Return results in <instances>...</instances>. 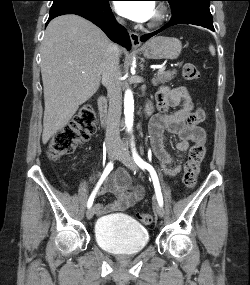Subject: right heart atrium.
<instances>
[{
    "label": "right heart atrium",
    "instance_id": "1",
    "mask_svg": "<svg viewBox=\"0 0 250 285\" xmlns=\"http://www.w3.org/2000/svg\"><path fill=\"white\" fill-rule=\"evenodd\" d=\"M116 20H117L118 22H121V19H120L119 17H116Z\"/></svg>",
    "mask_w": 250,
    "mask_h": 285
}]
</instances>
